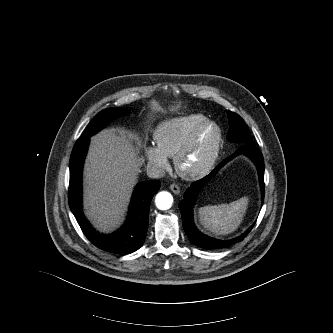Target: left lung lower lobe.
I'll return each mask as SVG.
<instances>
[{"mask_svg":"<svg viewBox=\"0 0 333 333\" xmlns=\"http://www.w3.org/2000/svg\"><path fill=\"white\" fill-rule=\"evenodd\" d=\"M246 154L249 158H251L258 168L260 185L262 190V196H264V161L263 156L260 151L254 147L253 145H243L241 146L234 154L224 159L209 175L198 180L191 184V186L186 190L184 194V199L179 203V209L182 215V223L184 230L186 231L189 240L194 245L205 248V249H220L225 248L230 245H233L239 241H242L246 235L251 231L252 227H250L245 234L239 236L232 240H218L215 238H211L202 234L195 227L193 222V206L195 204V200L199 190L205 185V183L218 171L220 167H222L226 162L233 159L238 154ZM263 200V199H262Z\"/></svg>","mask_w":333,"mask_h":333,"instance_id":"1","label":"left lung lower lobe"}]
</instances>
